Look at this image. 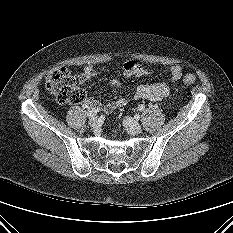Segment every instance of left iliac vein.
<instances>
[{"label":"left iliac vein","instance_id":"left-iliac-vein-1","mask_svg":"<svg viewBox=\"0 0 233 233\" xmlns=\"http://www.w3.org/2000/svg\"><path fill=\"white\" fill-rule=\"evenodd\" d=\"M123 124L127 132L132 135H136L142 132V126L131 117H125Z\"/></svg>","mask_w":233,"mask_h":233}]
</instances>
